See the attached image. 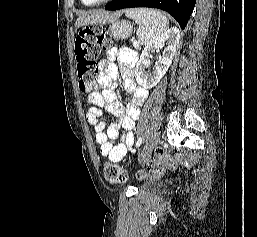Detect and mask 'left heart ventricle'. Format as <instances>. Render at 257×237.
<instances>
[{
	"label": "left heart ventricle",
	"instance_id": "1",
	"mask_svg": "<svg viewBox=\"0 0 257 237\" xmlns=\"http://www.w3.org/2000/svg\"><path fill=\"white\" fill-rule=\"evenodd\" d=\"M85 2L87 3H94V2H97V1H100V0H84Z\"/></svg>",
	"mask_w": 257,
	"mask_h": 237
}]
</instances>
